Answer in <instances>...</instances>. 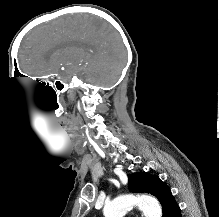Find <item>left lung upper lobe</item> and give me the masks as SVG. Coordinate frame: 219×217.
Returning <instances> with one entry per match:
<instances>
[{
	"label": "left lung upper lobe",
	"instance_id": "1",
	"mask_svg": "<svg viewBox=\"0 0 219 217\" xmlns=\"http://www.w3.org/2000/svg\"><path fill=\"white\" fill-rule=\"evenodd\" d=\"M129 191L133 193H149L158 198L162 205L163 217L166 216L169 207L175 199L166 185L158 176L150 175L147 172L128 175Z\"/></svg>",
	"mask_w": 219,
	"mask_h": 217
}]
</instances>
